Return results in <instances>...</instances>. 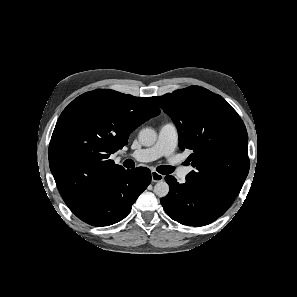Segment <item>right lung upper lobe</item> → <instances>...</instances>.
I'll return each instance as SVG.
<instances>
[{
  "label": "right lung upper lobe",
  "instance_id": "right-lung-upper-lobe-1",
  "mask_svg": "<svg viewBox=\"0 0 297 297\" xmlns=\"http://www.w3.org/2000/svg\"><path fill=\"white\" fill-rule=\"evenodd\" d=\"M160 114L151 97L109 89L86 92L61 113L49 145L58 190L74 213L125 169L109 159L140 124Z\"/></svg>",
  "mask_w": 297,
  "mask_h": 297
}]
</instances>
